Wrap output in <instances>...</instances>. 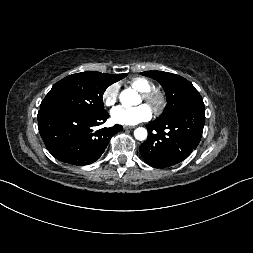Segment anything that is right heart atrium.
I'll use <instances>...</instances> for the list:
<instances>
[{"mask_svg":"<svg viewBox=\"0 0 253 253\" xmlns=\"http://www.w3.org/2000/svg\"><path fill=\"white\" fill-rule=\"evenodd\" d=\"M119 98V84L112 83L108 85L102 93V101L105 106L113 107Z\"/></svg>","mask_w":253,"mask_h":253,"instance_id":"right-heart-atrium-1","label":"right heart atrium"}]
</instances>
